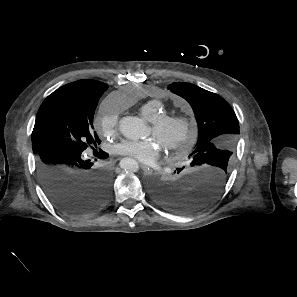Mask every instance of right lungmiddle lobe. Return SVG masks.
Listing matches in <instances>:
<instances>
[{
  "instance_id": "right-lung-middle-lobe-1",
  "label": "right lung middle lobe",
  "mask_w": 297,
  "mask_h": 297,
  "mask_svg": "<svg viewBox=\"0 0 297 297\" xmlns=\"http://www.w3.org/2000/svg\"><path fill=\"white\" fill-rule=\"evenodd\" d=\"M99 99L69 95L49 104L33 130V152L37 154L48 147L63 146L82 153L91 144H99L93 129Z\"/></svg>"
}]
</instances>
